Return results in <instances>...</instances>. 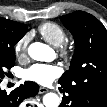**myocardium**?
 <instances>
[{"instance_id":"1","label":"myocardium","mask_w":107,"mask_h":107,"mask_svg":"<svg viewBox=\"0 0 107 107\" xmlns=\"http://www.w3.org/2000/svg\"><path fill=\"white\" fill-rule=\"evenodd\" d=\"M58 53H59L60 57L66 62H68L71 59L72 52H71V49L69 48V46L66 44H62L59 47Z\"/></svg>"}]
</instances>
